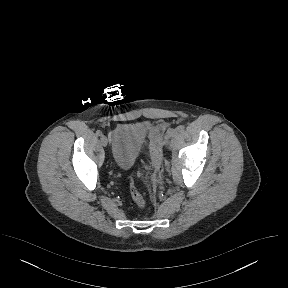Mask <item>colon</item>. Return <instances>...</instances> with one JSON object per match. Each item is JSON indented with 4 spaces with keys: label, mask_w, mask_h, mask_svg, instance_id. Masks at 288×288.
<instances>
[{
    "label": "colon",
    "mask_w": 288,
    "mask_h": 288,
    "mask_svg": "<svg viewBox=\"0 0 288 288\" xmlns=\"http://www.w3.org/2000/svg\"><path fill=\"white\" fill-rule=\"evenodd\" d=\"M129 189H130L131 197L134 203L136 204V206L139 208H144L146 205L145 199L140 193V191L135 187L133 181H130Z\"/></svg>",
    "instance_id": "1"
}]
</instances>
